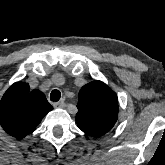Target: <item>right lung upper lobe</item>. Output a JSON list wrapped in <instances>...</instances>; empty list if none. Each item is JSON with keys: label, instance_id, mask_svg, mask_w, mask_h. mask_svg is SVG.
I'll list each match as a JSON object with an SVG mask.
<instances>
[{"label": "right lung upper lobe", "instance_id": "right-lung-upper-lobe-1", "mask_svg": "<svg viewBox=\"0 0 165 165\" xmlns=\"http://www.w3.org/2000/svg\"><path fill=\"white\" fill-rule=\"evenodd\" d=\"M53 109L39 90L27 83H14L0 102V124L13 137L24 138L36 130L42 118Z\"/></svg>", "mask_w": 165, "mask_h": 165}]
</instances>
